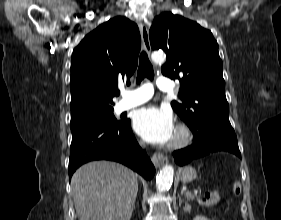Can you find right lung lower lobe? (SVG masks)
<instances>
[{"mask_svg":"<svg viewBox=\"0 0 281 220\" xmlns=\"http://www.w3.org/2000/svg\"><path fill=\"white\" fill-rule=\"evenodd\" d=\"M93 160L120 162L146 180L155 173L153 164L132 133L129 119L120 126H91L72 132L69 178L79 166Z\"/></svg>","mask_w":281,"mask_h":220,"instance_id":"1","label":"right lung lower lobe"}]
</instances>
